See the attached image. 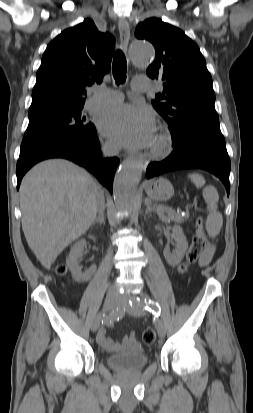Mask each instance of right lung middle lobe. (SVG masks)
I'll list each match as a JSON object with an SVG mask.
<instances>
[{
  "mask_svg": "<svg viewBox=\"0 0 253 413\" xmlns=\"http://www.w3.org/2000/svg\"><path fill=\"white\" fill-rule=\"evenodd\" d=\"M82 108L83 105H77L29 112V125L21 148L53 139L90 134L95 126L81 115Z\"/></svg>",
  "mask_w": 253,
  "mask_h": 413,
  "instance_id": "right-lung-middle-lobe-1",
  "label": "right lung middle lobe"
}]
</instances>
